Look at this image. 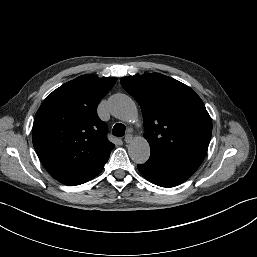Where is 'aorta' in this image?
<instances>
[{
	"instance_id": "aorta-1",
	"label": "aorta",
	"mask_w": 257,
	"mask_h": 257,
	"mask_svg": "<svg viewBox=\"0 0 257 257\" xmlns=\"http://www.w3.org/2000/svg\"><path fill=\"white\" fill-rule=\"evenodd\" d=\"M108 106L111 114L122 121L130 122L137 116L134 101L125 94L113 95ZM128 154L135 163H145L150 157L149 143L142 137L135 138L128 146Z\"/></svg>"
}]
</instances>
